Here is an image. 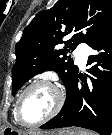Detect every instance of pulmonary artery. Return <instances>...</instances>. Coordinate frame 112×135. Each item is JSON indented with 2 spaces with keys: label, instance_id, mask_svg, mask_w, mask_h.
Instances as JSON below:
<instances>
[{
  "label": "pulmonary artery",
  "instance_id": "obj_1",
  "mask_svg": "<svg viewBox=\"0 0 112 135\" xmlns=\"http://www.w3.org/2000/svg\"><path fill=\"white\" fill-rule=\"evenodd\" d=\"M90 51L91 49L87 44L83 43L79 45L76 51V61L79 63L80 66H85Z\"/></svg>",
  "mask_w": 112,
  "mask_h": 135
}]
</instances>
